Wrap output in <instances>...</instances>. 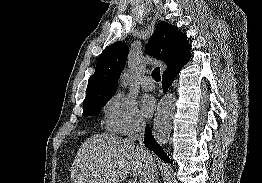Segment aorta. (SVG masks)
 I'll return each instance as SVG.
<instances>
[{"label":"aorta","instance_id":"aorta-1","mask_svg":"<svg viewBox=\"0 0 262 183\" xmlns=\"http://www.w3.org/2000/svg\"><path fill=\"white\" fill-rule=\"evenodd\" d=\"M121 87L127 86V73L124 72L120 78ZM175 96L167 94L160 100L154 117L153 134L160 145H165L171 132V122L175 111Z\"/></svg>","mask_w":262,"mask_h":183}]
</instances>
